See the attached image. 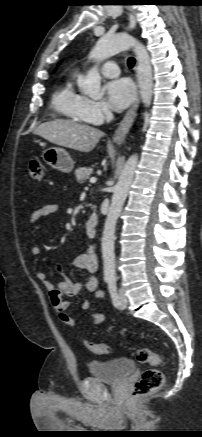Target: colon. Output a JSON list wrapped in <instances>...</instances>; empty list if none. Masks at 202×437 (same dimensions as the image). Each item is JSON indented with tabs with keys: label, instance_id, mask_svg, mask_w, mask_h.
I'll use <instances>...</instances> for the list:
<instances>
[{
	"label": "colon",
	"instance_id": "colon-1",
	"mask_svg": "<svg viewBox=\"0 0 202 437\" xmlns=\"http://www.w3.org/2000/svg\"><path fill=\"white\" fill-rule=\"evenodd\" d=\"M29 176L34 180H42L44 177L43 165L38 160H32L29 164ZM86 347L94 354L103 355L110 351V347L105 343H94L85 341ZM136 358L138 362L158 366L161 363L160 356L147 347L137 350ZM164 384V374L157 368L148 369L143 372L141 378L134 384L132 395L140 398L154 393L161 389Z\"/></svg>",
	"mask_w": 202,
	"mask_h": 437
}]
</instances>
